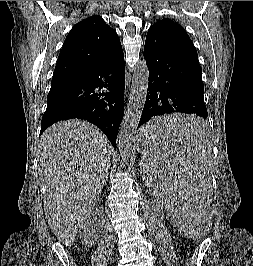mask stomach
Wrapping results in <instances>:
<instances>
[{"mask_svg": "<svg viewBox=\"0 0 253 266\" xmlns=\"http://www.w3.org/2000/svg\"><path fill=\"white\" fill-rule=\"evenodd\" d=\"M140 138H145L143 129H141L140 132H139V134H138V142L140 141ZM139 146H140V144H139Z\"/></svg>", "mask_w": 253, "mask_h": 266, "instance_id": "stomach-1", "label": "stomach"}]
</instances>
